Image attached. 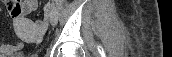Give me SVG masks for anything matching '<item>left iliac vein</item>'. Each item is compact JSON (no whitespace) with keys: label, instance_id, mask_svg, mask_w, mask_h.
I'll return each instance as SVG.
<instances>
[{"label":"left iliac vein","instance_id":"obj_1","mask_svg":"<svg viewBox=\"0 0 172 57\" xmlns=\"http://www.w3.org/2000/svg\"><path fill=\"white\" fill-rule=\"evenodd\" d=\"M46 10H47V16H46L47 19L49 20L51 25L55 26L58 21V12L56 7L52 3H48Z\"/></svg>","mask_w":172,"mask_h":57}]
</instances>
